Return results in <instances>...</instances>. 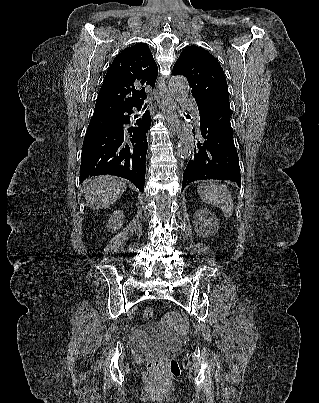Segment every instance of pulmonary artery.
<instances>
[{
	"label": "pulmonary artery",
	"mask_w": 319,
	"mask_h": 403,
	"mask_svg": "<svg viewBox=\"0 0 319 403\" xmlns=\"http://www.w3.org/2000/svg\"><path fill=\"white\" fill-rule=\"evenodd\" d=\"M183 105L186 106V107L187 106H194L193 102L190 100L189 97H184ZM195 112H196V115H195L196 122H199V115H198V112L196 111V109H195Z\"/></svg>",
	"instance_id": "obj_1"
}]
</instances>
